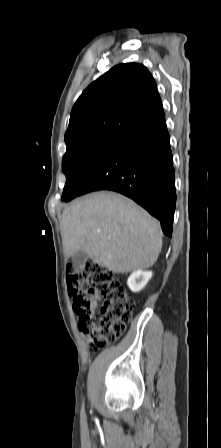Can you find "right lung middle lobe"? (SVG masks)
<instances>
[{"mask_svg":"<svg viewBox=\"0 0 221 448\" xmlns=\"http://www.w3.org/2000/svg\"><path fill=\"white\" fill-rule=\"evenodd\" d=\"M118 139H108L86 143L66 151L62 169L66 184L62 194L63 201L80 196L85 184L101 165Z\"/></svg>","mask_w":221,"mask_h":448,"instance_id":"obj_1","label":"right lung middle lobe"}]
</instances>
